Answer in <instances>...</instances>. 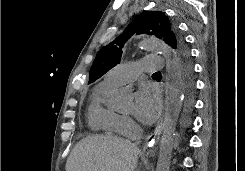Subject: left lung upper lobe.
Here are the masks:
<instances>
[{
	"instance_id": "obj_1",
	"label": "left lung upper lobe",
	"mask_w": 245,
	"mask_h": 171,
	"mask_svg": "<svg viewBox=\"0 0 245 171\" xmlns=\"http://www.w3.org/2000/svg\"><path fill=\"white\" fill-rule=\"evenodd\" d=\"M147 33L165 41L174 52L175 61H191L189 51L179 34L176 25L164 12L145 11L139 14L124 32L108 45L102 47L90 69L89 83L103 76L107 71L120 63L122 48L134 34Z\"/></svg>"
}]
</instances>
